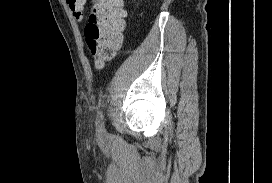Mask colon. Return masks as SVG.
<instances>
[{"instance_id": "colon-1", "label": "colon", "mask_w": 272, "mask_h": 183, "mask_svg": "<svg viewBox=\"0 0 272 183\" xmlns=\"http://www.w3.org/2000/svg\"><path fill=\"white\" fill-rule=\"evenodd\" d=\"M77 19L81 18L86 0H67ZM123 0H90L85 26V41L100 66L110 60L122 43L124 27Z\"/></svg>"}]
</instances>
